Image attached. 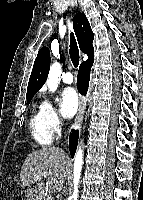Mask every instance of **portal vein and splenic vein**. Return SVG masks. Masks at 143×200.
Returning <instances> with one entry per match:
<instances>
[{
	"label": "portal vein and splenic vein",
	"instance_id": "1",
	"mask_svg": "<svg viewBox=\"0 0 143 200\" xmlns=\"http://www.w3.org/2000/svg\"><path fill=\"white\" fill-rule=\"evenodd\" d=\"M47 174H48L47 171H44V172H43L44 177H46ZM47 200H54V198L50 196V197L47 198Z\"/></svg>",
	"mask_w": 143,
	"mask_h": 200
}]
</instances>
